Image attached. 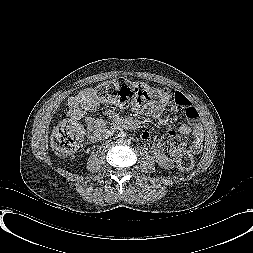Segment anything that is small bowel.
Masks as SVG:
<instances>
[{
	"label": "small bowel",
	"instance_id": "c3829d8e",
	"mask_svg": "<svg viewBox=\"0 0 253 253\" xmlns=\"http://www.w3.org/2000/svg\"><path fill=\"white\" fill-rule=\"evenodd\" d=\"M166 90L170 99L158 106L147 109L146 114L164 123L168 113L177 112L181 108L188 121L182 123L177 130L169 125L166 126L170 137L167 153L161 140L155 141L151 148V155L159 167L169 170L181 151L190 150L196 154L202 150L203 129L198 123L199 112L190 100L183 93L173 88H166ZM68 106V116L72 121H78L87 115L85 119L89 139L94 143L113 135L117 130L131 128L135 124L134 118H122L113 110L105 111V115L111 120L110 127L102 118L89 114L98 107L93 88H86L72 95L68 100ZM133 111L136 112L137 110L133 109ZM189 135H192V139L187 142L185 138ZM151 138L152 135L149 131H144L141 135V139L145 143H149Z\"/></svg>",
	"mask_w": 253,
	"mask_h": 253
}]
</instances>
